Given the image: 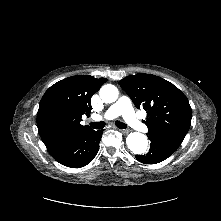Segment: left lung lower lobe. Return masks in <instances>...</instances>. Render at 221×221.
<instances>
[{"label":"left lung lower lobe","mask_w":221,"mask_h":221,"mask_svg":"<svg viewBox=\"0 0 221 221\" xmlns=\"http://www.w3.org/2000/svg\"><path fill=\"white\" fill-rule=\"evenodd\" d=\"M151 144L149 152L145 155H136V159L144 164H156L172 155L179 145L157 136L149 137Z\"/></svg>","instance_id":"1"}]
</instances>
